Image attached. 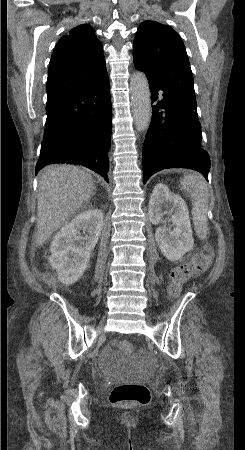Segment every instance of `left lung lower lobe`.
<instances>
[{
	"label": "left lung lower lobe",
	"mask_w": 245,
	"mask_h": 450,
	"mask_svg": "<svg viewBox=\"0 0 245 450\" xmlns=\"http://www.w3.org/2000/svg\"><path fill=\"white\" fill-rule=\"evenodd\" d=\"M152 103V120L143 152V182L167 168H191L208 180L210 159L202 146V132L196 106L172 90L163 80L147 76ZM160 109H164L161 112Z\"/></svg>",
	"instance_id": "1"
}]
</instances>
